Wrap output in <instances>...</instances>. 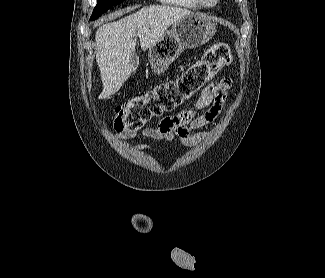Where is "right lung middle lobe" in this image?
I'll return each mask as SVG.
<instances>
[{
    "label": "right lung middle lobe",
    "mask_w": 325,
    "mask_h": 278,
    "mask_svg": "<svg viewBox=\"0 0 325 278\" xmlns=\"http://www.w3.org/2000/svg\"><path fill=\"white\" fill-rule=\"evenodd\" d=\"M98 3L93 10L91 20L97 19L113 5L121 3L123 0H97Z\"/></svg>",
    "instance_id": "dd1d6c3e"
}]
</instances>
